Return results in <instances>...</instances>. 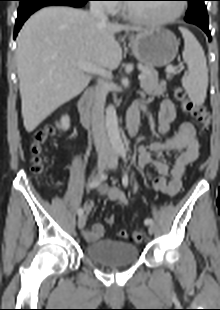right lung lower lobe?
I'll use <instances>...</instances> for the list:
<instances>
[{
	"label": "right lung lower lobe",
	"instance_id": "1",
	"mask_svg": "<svg viewBox=\"0 0 220 310\" xmlns=\"http://www.w3.org/2000/svg\"><path fill=\"white\" fill-rule=\"evenodd\" d=\"M18 17L15 23L14 38L28 17L38 9L50 5L81 7L89 0H19Z\"/></svg>",
	"mask_w": 220,
	"mask_h": 310
}]
</instances>
